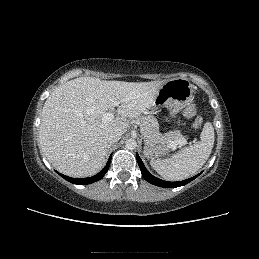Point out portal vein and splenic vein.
Listing matches in <instances>:
<instances>
[{"label": "portal vein and splenic vein", "mask_w": 259, "mask_h": 259, "mask_svg": "<svg viewBox=\"0 0 259 259\" xmlns=\"http://www.w3.org/2000/svg\"><path fill=\"white\" fill-rule=\"evenodd\" d=\"M113 103H114L115 106H118L120 104V101H114ZM113 118H114V113L113 112H107L103 115L102 120L107 122V121L112 120ZM185 144H187V141L184 138H182V139H179L177 141L171 142L170 146L171 147H174V146H177V145L183 146Z\"/></svg>", "instance_id": "obj_1"}]
</instances>
